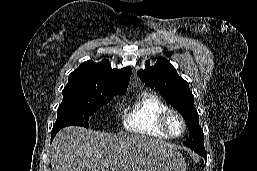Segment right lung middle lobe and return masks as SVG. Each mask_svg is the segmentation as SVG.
Here are the masks:
<instances>
[{
  "label": "right lung middle lobe",
  "mask_w": 257,
  "mask_h": 171,
  "mask_svg": "<svg viewBox=\"0 0 257 171\" xmlns=\"http://www.w3.org/2000/svg\"><path fill=\"white\" fill-rule=\"evenodd\" d=\"M63 100L57 110V120L53 126L88 127V117L120 93L94 88H64Z\"/></svg>",
  "instance_id": "right-lung-middle-lobe-1"
}]
</instances>
